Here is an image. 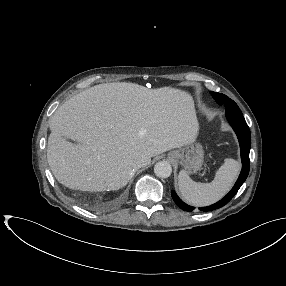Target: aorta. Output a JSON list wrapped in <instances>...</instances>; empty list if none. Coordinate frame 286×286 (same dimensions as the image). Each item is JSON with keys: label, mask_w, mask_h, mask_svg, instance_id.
Segmentation results:
<instances>
[{"label": "aorta", "mask_w": 286, "mask_h": 286, "mask_svg": "<svg viewBox=\"0 0 286 286\" xmlns=\"http://www.w3.org/2000/svg\"><path fill=\"white\" fill-rule=\"evenodd\" d=\"M154 173L160 178H168L172 173V167L167 161H159L154 166Z\"/></svg>", "instance_id": "obj_1"}]
</instances>
